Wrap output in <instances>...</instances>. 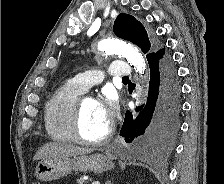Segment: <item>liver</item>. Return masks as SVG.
Returning <instances> with one entry per match:
<instances>
[{
  "label": "liver",
  "mask_w": 224,
  "mask_h": 184,
  "mask_svg": "<svg viewBox=\"0 0 224 184\" xmlns=\"http://www.w3.org/2000/svg\"><path fill=\"white\" fill-rule=\"evenodd\" d=\"M92 151V149H86L70 144L49 142L43 145L40 149H38L33 160L59 159L64 157L88 154Z\"/></svg>",
  "instance_id": "1"
}]
</instances>
